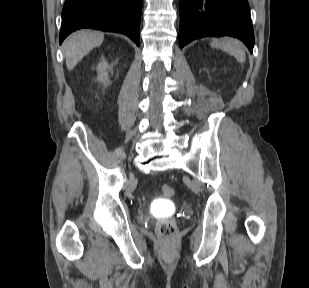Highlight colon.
<instances>
[{
    "mask_svg": "<svg viewBox=\"0 0 309 288\" xmlns=\"http://www.w3.org/2000/svg\"><path fill=\"white\" fill-rule=\"evenodd\" d=\"M173 188L169 185H163L159 189V196L161 198H169L173 195ZM177 232L176 225L173 221L166 220L159 224L158 235L163 240H169L175 237Z\"/></svg>",
    "mask_w": 309,
    "mask_h": 288,
    "instance_id": "1",
    "label": "colon"
}]
</instances>
